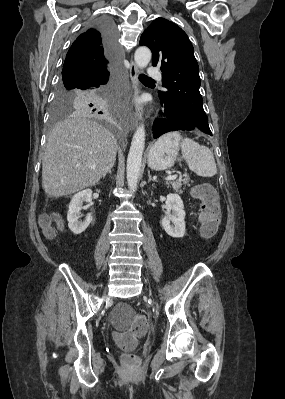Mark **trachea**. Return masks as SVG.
I'll return each instance as SVG.
<instances>
[{"label": "trachea", "mask_w": 285, "mask_h": 399, "mask_svg": "<svg viewBox=\"0 0 285 399\" xmlns=\"http://www.w3.org/2000/svg\"><path fill=\"white\" fill-rule=\"evenodd\" d=\"M139 79H140L141 81H151V82L154 81L153 79H151V78H149V77H147L146 75H143V74H141V75L139 76Z\"/></svg>", "instance_id": "3493384b"}]
</instances>
